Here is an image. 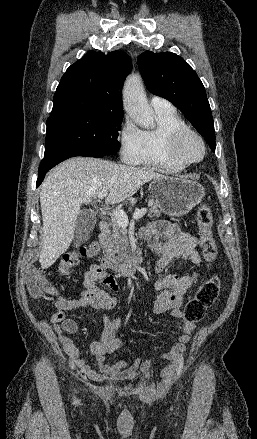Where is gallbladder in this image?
Listing matches in <instances>:
<instances>
[{"label": "gallbladder", "instance_id": "gallbladder-1", "mask_svg": "<svg viewBox=\"0 0 257 439\" xmlns=\"http://www.w3.org/2000/svg\"><path fill=\"white\" fill-rule=\"evenodd\" d=\"M96 223V217L90 210H82L77 218L74 230V245L79 246L91 235Z\"/></svg>", "mask_w": 257, "mask_h": 439}]
</instances>
